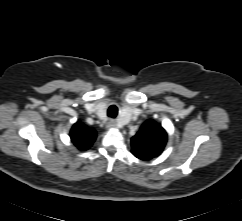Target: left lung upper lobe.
<instances>
[{"label":"left lung upper lobe","instance_id":"obj_1","mask_svg":"<svg viewBox=\"0 0 242 221\" xmlns=\"http://www.w3.org/2000/svg\"><path fill=\"white\" fill-rule=\"evenodd\" d=\"M166 141V131L155 121L147 120L131 139L132 153L141 160H150L163 151Z\"/></svg>","mask_w":242,"mask_h":221}]
</instances>
